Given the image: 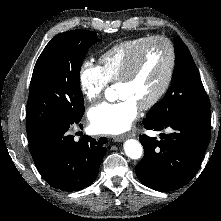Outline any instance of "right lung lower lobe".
I'll return each mask as SVG.
<instances>
[{"instance_id":"1","label":"right lung lower lobe","mask_w":221,"mask_h":221,"mask_svg":"<svg viewBox=\"0 0 221 221\" xmlns=\"http://www.w3.org/2000/svg\"><path fill=\"white\" fill-rule=\"evenodd\" d=\"M82 116L52 122L29 142L39 173L56 189L72 192L91 185L106 153V137L94 140L84 136L75 142L69 134V127Z\"/></svg>"}]
</instances>
